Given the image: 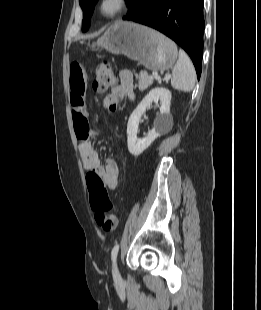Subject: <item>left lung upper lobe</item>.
<instances>
[{
  "instance_id": "1",
  "label": "left lung upper lobe",
  "mask_w": 261,
  "mask_h": 310,
  "mask_svg": "<svg viewBox=\"0 0 261 310\" xmlns=\"http://www.w3.org/2000/svg\"><path fill=\"white\" fill-rule=\"evenodd\" d=\"M98 0H80V6L83 10L82 30L87 31L90 26L91 16ZM136 0H126V4L130 11L132 10Z\"/></svg>"
}]
</instances>
